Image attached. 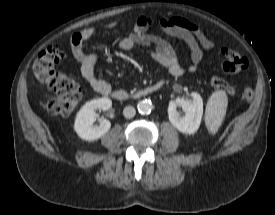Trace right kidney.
<instances>
[{
	"label": "right kidney",
	"mask_w": 275,
	"mask_h": 215,
	"mask_svg": "<svg viewBox=\"0 0 275 215\" xmlns=\"http://www.w3.org/2000/svg\"><path fill=\"white\" fill-rule=\"evenodd\" d=\"M112 105L109 98H99L87 102L77 113L74 129L78 136L87 141L101 138L110 129V122L102 120L99 126H93L96 121V110H108Z\"/></svg>",
	"instance_id": "ca27d5eb"
}]
</instances>
